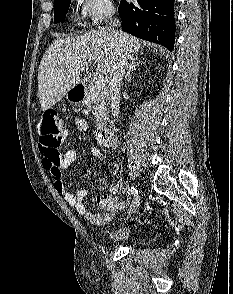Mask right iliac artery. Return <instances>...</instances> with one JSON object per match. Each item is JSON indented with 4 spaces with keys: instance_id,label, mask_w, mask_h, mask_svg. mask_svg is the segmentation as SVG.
<instances>
[{
    "instance_id": "obj_1",
    "label": "right iliac artery",
    "mask_w": 233,
    "mask_h": 294,
    "mask_svg": "<svg viewBox=\"0 0 233 294\" xmlns=\"http://www.w3.org/2000/svg\"><path fill=\"white\" fill-rule=\"evenodd\" d=\"M128 191H129L131 194H133L135 197H138V196H139V195H138V191H137V189L134 188V187H128Z\"/></svg>"
}]
</instances>
